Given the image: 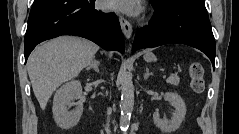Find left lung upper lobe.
<instances>
[{
    "mask_svg": "<svg viewBox=\"0 0 239 134\" xmlns=\"http://www.w3.org/2000/svg\"><path fill=\"white\" fill-rule=\"evenodd\" d=\"M173 0H151L152 4L157 8H163Z\"/></svg>",
    "mask_w": 239,
    "mask_h": 134,
    "instance_id": "5c2ea615",
    "label": "left lung upper lobe"
}]
</instances>
